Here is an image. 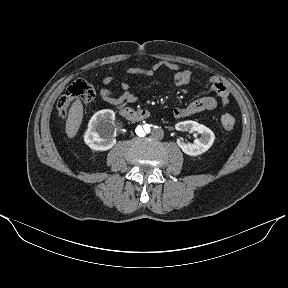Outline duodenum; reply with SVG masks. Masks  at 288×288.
I'll list each match as a JSON object with an SVG mask.
<instances>
[{"mask_svg": "<svg viewBox=\"0 0 288 288\" xmlns=\"http://www.w3.org/2000/svg\"><path fill=\"white\" fill-rule=\"evenodd\" d=\"M121 115L130 121H142L149 118L151 113L147 109L135 110L130 107H124L121 109Z\"/></svg>", "mask_w": 288, "mask_h": 288, "instance_id": "duodenum-1", "label": "duodenum"}]
</instances>
